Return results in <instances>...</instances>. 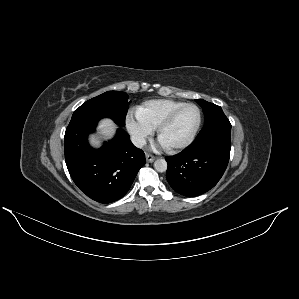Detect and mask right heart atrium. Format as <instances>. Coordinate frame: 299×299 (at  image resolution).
I'll return each instance as SVG.
<instances>
[{
  "label": "right heart atrium",
  "instance_id": "d8ad5b80",
  "mask_svg": "<svg viewBox=\"0 0 299 299\" xmlns=\"http://www.w3.org/2000/svg\"><path fill=\"white\" fill-rule=\"evenodd\" d=\"M125 122L131 139L136 146H143L154 132V129L144 122L137 113L129 112Z\"/></svg>",
  "mask_w": 299,
  "mask_h": 299
}]
</instances>
